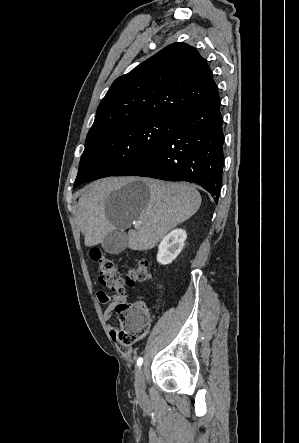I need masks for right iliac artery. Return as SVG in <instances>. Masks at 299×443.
<instances>
[{
	"label": "right iliac artery",
	"instance_id": "right-iliac-artery-1",
	"mask_svg": "<svg viewBox=\"0 0 299 443\" xmlns=\"http://www.w3.org/2000/svg\"><path fill=\"white\" fill-rule=\"evenodd\" d=\"M142 363H143V358L142 357L138 358L137 365L140 367Z\"/></svg>",
	"mask_w": 299,
	"mask_h": 443
}]
</instances>
